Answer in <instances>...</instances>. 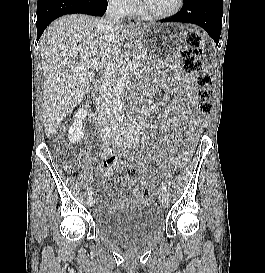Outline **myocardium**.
<instances>
[{"mask_svg": "<svg viewBox=\"0 0 265 273\" xmlns=\"http://www.w3.org/2000/svg\"><path fill=\"white\" fill-rule=\"evenodd\" d=\"M183 5H184V0H177V4L172 10L168 12H164V13H155V12H151L147 10L144 6L143 0H139V14L147 19H154V20L167 19V18L173 17L178 12H180Z\"/></svg>", "mask_w": 265, "mask_h": 273, "instance_id": "f54148a6", "label": "myocardium"}]
</instances>
